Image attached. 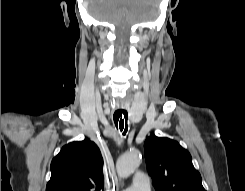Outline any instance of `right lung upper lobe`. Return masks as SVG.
Instances as JSON below:
<instances>
[{
    "instance_id": "right-lung-upper-lobe-1",
    "label": "right lung upper lobe",
    "mask_w": 245,
    "mask_h": 191,
    "mask_svg": "<svg viewBox=\"0 0 245 191\" xmlns=\"http://www.w3.org/2000/svg\"><path fill=\"white\" fill-rule=\"evenodd\" d=\"M51 173L46 191H104L102 157L90 140L62 147L51 162Z\"/></svg>"
}]
</instances>
